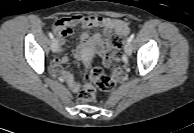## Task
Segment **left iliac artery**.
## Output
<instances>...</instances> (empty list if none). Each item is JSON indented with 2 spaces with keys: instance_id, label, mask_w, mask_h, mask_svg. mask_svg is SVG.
Returning <instances> with one entry per match:
<instances>
[{
  "instance_id": "left-iliac-artery-1",
  "label": "left iliac artery",
  "mask_w": 194,
  "mask_h": 133,
  "mask_svg": "<svg viewBox=\"0 0 194 133\" xmlns=\"http://www.w3.org/2000/svg\"><path fill=\"white\" fill-rule=\"evenodd\" d=\"M135 37V33H132L130 37L127 39L128 42H131Z\"/></svg>"
}]
</instances>
